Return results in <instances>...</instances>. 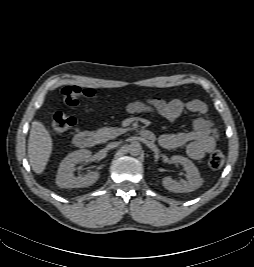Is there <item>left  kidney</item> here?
I'll return each mask as SVG.
<instances>
[{
	"mask_svg": "<svg viewBox=\"0 0 254 267\" xmlns=\"http://www.w3.org/2000/svg\"><path fill=\"white\" fill-rule=\"evenodd\" d=\"M172 162L181 164L186 170L187 180L178 182L171 177H165L162 180L163 186L172 192L188 193L198 189L202 185V178L198 168L191 160L183 156L175 155L171 158Z\"/></svg>",
	"mask_w": 254,
	"mask_h": 267,
	"instance_id": "left-kidney-1",
	"label": "left kidney"
}]
</instances>
